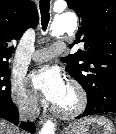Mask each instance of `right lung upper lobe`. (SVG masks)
<instances>
[{
    "mask_svg": "<svg viewBox=\"0 0 116 134\" xmlns=\"http://www.w3.org/2000/svg\"><path fill=\"white\" fill-rule=\"evenodd\" d=\"M37 24L38 12L34 2L0 0V68L9 66L8 60L14 52L12 43Z\"/></svg>",
    "mask_w": 116,
    "mask_h": 134,
    "instance_id": "obj_1",
    "label": "right lung upper lobe"
}]
</instances>
